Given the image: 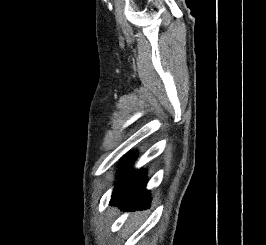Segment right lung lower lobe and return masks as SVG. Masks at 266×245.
Listing matches in <instances>:
<instances>
[{"mask_svg": "<svg viewBox=\"0 0 266 245\" xmlns=\"http://www.w3.org/2000/svg\"><path fill=\"white\" fill-rule=\"evenodd\" d=\"M123 160L122 175L116 183L110 204L118 205L123 210L143 209L149 206V192L143 185L146 183L145 170H131L134 153Z\"/></svg>", "mask_w": 266, "mask_h": 245, "instance_id": "right-lung-lower-lobe-1", "label": "right lung lower lobe"}]
</instances>
